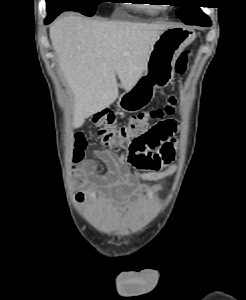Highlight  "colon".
Wrapping results in <instances>:
<instances>
[{"instance_id": "colon-1", "label": "colon", "mask_w": 246, "mask_h": 300, "mask_svg": "<svg viewBox=\"0 0 246 300\" xmlns=\"http://www.w3.org/2000/svg\"><path fill=\"white\" fill-rule=\"evenodd\" d=\"M188 52H183L176 61L175 70L183 74L187 68ZM178 100L170 97L162 107L141 112L128 119L124 125L117 124V114L114 111L102 110L92 118V124L97 129L103 145L112 148H127L130 152L141 155L139 164L144 168L157 167L162 159L157 152L176 133L178 123L173 120H163L176 110ZM159 122L150 125L151 121ZM86 147V139L82 134L75 137V155L73 160L79 162Z\"/></svg>"}]
</instances>
